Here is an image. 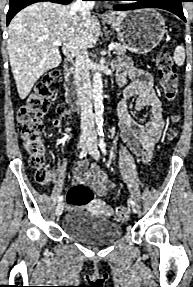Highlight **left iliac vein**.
<instances>
[{"mask_svg": "<svg viewBox=\"0 0 193 287\" xmlns=\"http://www.w3.org/2000/svg\"><path fill=\"white\" fill-rule=\"evenodd\" d=\"M88 151H89V154L91 155V157H93L94 159L98 160L100 158V153L98 150V140H97L96 136H93L91 138V143L88 147ZM131 208H132L133 212H136L135 206L132 205Z\"/></svg>", "mask_w": 193, "mask_h": 287, "instance_id": "left-iliac-vein-1", "label": "left iliac vein"}]
</instances>
